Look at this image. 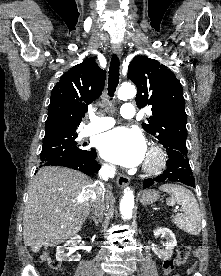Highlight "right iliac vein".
Masks as SVG:
<instances>
[{"label":"right iliac vein","mask_w":221,"mask_h":276,"mask_svg":"<svg viewBox=\"0 0 221 276\" xmlns=\"http://www.w3.org/2000/svg\"><path fill=\"white\" fill-rule=\"evenodd\" d=\"M98 276H103V275L100 273V274H98Z\"/></svg>","instance_id":"obj_1"}]
</instances>
